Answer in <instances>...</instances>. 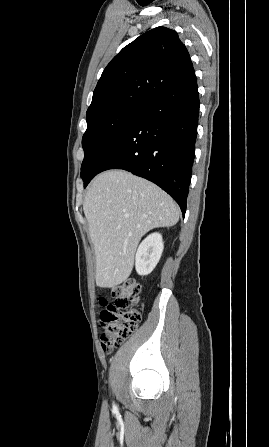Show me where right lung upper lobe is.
Wrapping results in <instances>:
<instances>
[{
	"label": "right lung upper lobe",
	"instance_id": "1",
	"mask_svg": "<svg viewBox=\"0 0 269 447\" xmlns=\"http://www.w3.org/2000/svg\"><path fill=\"white\" fill-rule=\"evenodd\" d=\"M192 62L178 34L165 27L147 31L107 65L94 90L86 119L143 104L184 76Z\"/></svg>",
	"mask_w": 269,
	"mask_h": 447
}]
</instances>
